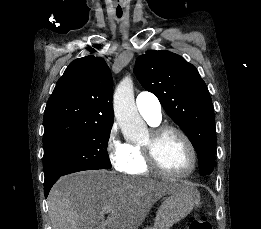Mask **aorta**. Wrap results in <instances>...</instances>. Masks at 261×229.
Instances as JSON below:
<instances>
[{
  "label": "aorta",
  "mask_w": 261,
  "mask_h": 229,
  "mask_svg": "<svg viewBox=\"0 0 261 229\" xmlns=\"http://www.w3.org/2000/svg\"><path fill=\"white\" fill-rule=\"evenodd\" d=\"M115 119L124 135L131 141H146L148 139L147 127L142 121L134 100L133 82L126 76L118 84L114 96Z\"/></svg>",
  "instance_id": "obj_1"
}]
</instances>
